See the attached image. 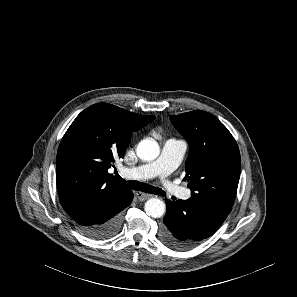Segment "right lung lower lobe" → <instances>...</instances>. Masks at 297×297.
<instances>
[{
	"mask_svg": "<svg viewBox=\"0 0 297 297\" xmlns=\"http://www.w3.org/2000/svg\"><path fill=\"white\" fill-rule=\"evenodd\" d=\"M132 199L131 190L120 194L104 193L87 199L69 215L82 234L95 240H106L120 230L122 210Z\"/></svg>",
	"mask_w": 297,
	"mask_h": 297,
	"instance_id": "98d812e1",
	"label": "right lung lower lobe"
}]
</instances>
